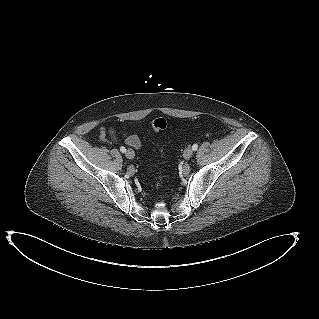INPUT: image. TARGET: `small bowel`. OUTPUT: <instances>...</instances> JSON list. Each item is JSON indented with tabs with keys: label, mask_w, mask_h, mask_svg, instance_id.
Listing matches in <instances>:
<instances>
[{
	"label": "small bowel",
	"mask_w": 319,
	"mask_h": 319,
	"mask_svg": "<svg viewBox=\"0 0 319 319\" xmlns=\"http://www.w3.org/2000/svg\"><path fill=\"white\" fill-rule=\"evenodd\" d=\"M106 134L103 133V138H105ZM112 136L114 137V133H112ZM124 141L127 145H130L134 148H140L141 147V140L136 135H125Z\"/></svg>",
	"instance_id": "1"
}]
</instances>
